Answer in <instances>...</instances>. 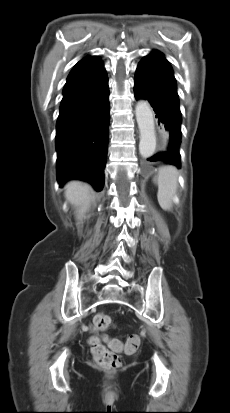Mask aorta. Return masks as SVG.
<instances>
[{"label": "aorta", "mask_w": 230, "mask_h": 413, "mask_svg": "<svg viewBox=\"0 0 230 413\" xmlns=\"http://www.w3.org/2000/svg\"><path fill=\"white\" fill-rule=\"evenodd\" d=\"M136 120L140 131L139 151L141 156L148 158L156 149V132L154 113L147 101H139L135 108Z\"/></svg>", "instance_id": "aorta-1"}]
</instances>
